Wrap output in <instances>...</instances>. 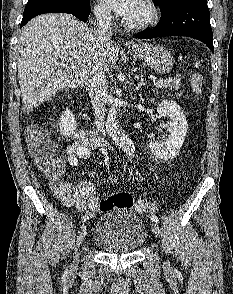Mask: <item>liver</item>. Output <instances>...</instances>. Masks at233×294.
I'll return each mask as SVG.
<instances>
[{
	"label": "liver",
	"instance_id": "obj_1",
	"mask_svg": "<svg viewBox=\"0 0 233 294\" xmlns=\"http://www.w3.org/2000/svg\"><path fill=\"white\" fill-rule=\"evenodd\" d=\"M113 42L100 45L96 32L68 14H44L23 29L17 46L18 79L24 107L30 111L60 89L89 83L99 60L109 71L118 60ZM60 63L76 67L63 68Z\"/></svg>",
	"mask_w": 233,
	"mask_h": 294
}]
</instances>
